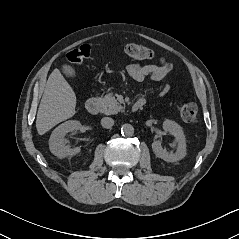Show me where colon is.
Masks as SVG:
<instances>
[{"label":"colon","instance_id":"obj_1","mask_svg":"<svg viewBox=\"0 0 239 239\" xmlns=\"http://www.w3.org/2000/svg\"><path fill=\"white\" fill-rule=\"evenodd\" d=\"M125 52L140 60H149L154 56L153 51L143 45L128 43L124 46ZM92 55V49L88 44H83L67 54V60L73 65H80L84 61L90 59ZM166 70L170 69V64L164 63L163 66ZM177 112L181 119L188 123H196L198 120L197 106L191 102H181L177 105Z\"/></svg>","mask_w":239,"mask_h":239}]
</instances>
